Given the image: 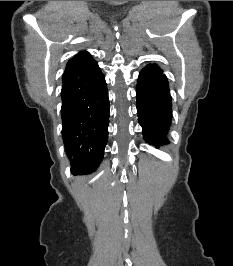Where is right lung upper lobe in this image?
<instances>
[{
  "instance_id": "right-lung-upper-lobe-1",
  "label": "right lung upper lobe",
  "mask_w": 233,
  "mask_h": 266,
  "mask_svg": "<svg viewBox=\"0 0 233 266\" xmlns=\"http://www.w3.org/2000/svg\"><path fill=\"white\" fill-rule=\"evenodd\" d=\"M90 56L91 55L87 53L86 51L79 52L77 55H75L72 59L68 61L65 72L79 66Z\"/></svg>"
}]
</instances>
